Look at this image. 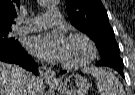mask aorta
<instances>
[{
    "label": "aorta",
    "mask_w": 135,
    "mask_h": 95,
    "mask_svg": "<svg viewBox=\"0 0 135 95\" xmlns=\"http://www.w3.org/2000/svg\"><path fill=\"white\" fill-rule=\"evenodd\" d=\"M40 4L43 6H52L56 4V0H40Z\"/></svg>",
    "instance_id": "aorta-1"
}]
</instances>
